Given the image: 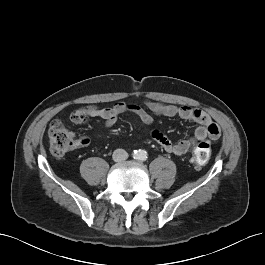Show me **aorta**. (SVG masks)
Masks as SVG:
<instances>
[{"label":"aorta","instance_id":"762f6f07","mask_svg":"<svg viewBox=\"0 0 265 265\" xmlns=\"http://www.w3.org/2000/svg\"><path fill=\"white\" fill-rule=\"evenodd\" d=\"M135 158L138 160H146L147 158V152L145 150L139 149L135 152Z\"/></svg>","mask_w":265,"mask_h":265}]
</instances>
